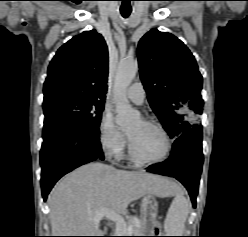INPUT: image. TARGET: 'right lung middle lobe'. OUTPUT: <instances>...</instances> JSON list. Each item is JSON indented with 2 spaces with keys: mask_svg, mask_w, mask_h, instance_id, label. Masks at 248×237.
<instances>
[{
  "mask_svg": "<svg viewBox=\"0 0 248 237\" xmlns=\"http://www.w3.org/2000/svg\"><path fill=\"white\" fill-rule=\"evenodd\" d=\"M104 101L59 97L43 102L44 124H58L80 129H98Z\"/></svg>",
  "mask_w": 248,
  "mask_h": 237,
  "instance_id": "dd1d6c3e",
  "label": "right lung middle lobe"
}]
</instances>
